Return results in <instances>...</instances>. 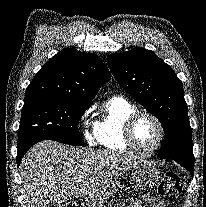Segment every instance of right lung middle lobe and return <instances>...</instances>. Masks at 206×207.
Masks as SVG:
<instances>
[{
  "label": "right lung middle lobe",
  "mask_w": 206,
  "mask_h": 207,
  "mask_svg": "<svg viewBox=\"0 0 206 207\" xmlns=\"http://www.w3.org/2000/svg\"><path fill=\"white\" fill-rule=\"evenodd\" d=\"M89 106L87 103L52 97L25 101L18 130L17 150H28L46 139L84 146L77 125Z\"/></svg>",
  "instance_id": "right-lung-middle-lobe-1"
}]
</instances>
